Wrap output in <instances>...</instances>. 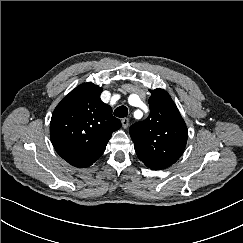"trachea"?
Returning <instances> with one entry per match:
<instances>
[{
	"mask_svg": "<svg viewBox=\"0 0 243 243\" xmlns=\"http://www.w3.org/2000/svg\"><path fill=\"white\" fill-rule=\"evenodd\" d=\"M114 115L119 118H124L128 115V109L126 106H119L114 110Z\"/></svg>",
	"mask_w": 243,
	"mask_h": 243,
	"instance_id": "1",
	"label": "trachea"
}]
</instances>
